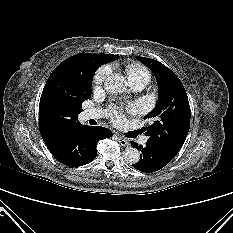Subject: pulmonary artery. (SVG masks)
I'll return each mask as SVG.
<instances>
[{
    "label": "pulmonary artery",
    "instance_id": "1",
    "mask_svg": "<svg viewBox=\"0 0 233 233\" xmlns=\"http://www.w3.org/2000/svg\"><path fill=\"white\" fill-rule=\"evenodd\" d=\"M130 85L134 91H140L144 88L146 84L141 81H130ZM82 117L84 120L98 119L102 117V112L98 109H88L84 111ZM146 141H147L146 137H143L141 140L142 143H146Z\"/></svg>",
    "mask_w": 233,
    "mask_h": 233
}]
</instances>
